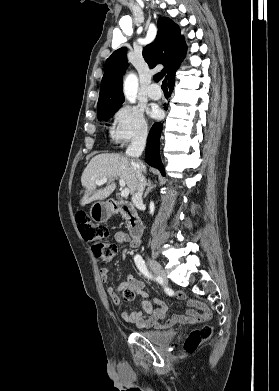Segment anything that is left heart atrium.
I'll return each mask as SVG.
<instances>
[{
	"label": "left heart atrium",
	"mask_w": 279,
	"mask_h": 391,
	"mask_svg": "<svg viewBox=\"0 0 279 391\" xmlns=\"http://www.w3.org/2000/svg\"><path fill=\"white\" fill-rule=\"evenodd\" d=\"M152 116L153 117H157L159 115V110L158 109H154L152 112H151Z\"/></svg>",
	"instance_id": "1"
}]
</instances>
